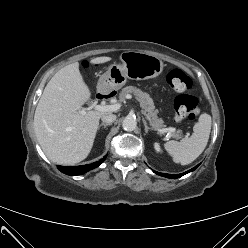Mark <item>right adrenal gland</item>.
<instances>
[{
  "label": "right adrenal gland",
  "instance_id": "obj_1",
  "mask_svg": "<svg viewBox=\"0 0 248 248\" xmlns=\"http://www.w3.org/2000/svg\"><path fill=\"white\" fill-rule=\"evenodd\" d=\"M111 123H101L99 126H98V130L100 129L101 126H103L104 128L107 127V126H110Z\"/></svg>",
  "mask_w": 248,
  "mask_h": 248
}]
</instances>
